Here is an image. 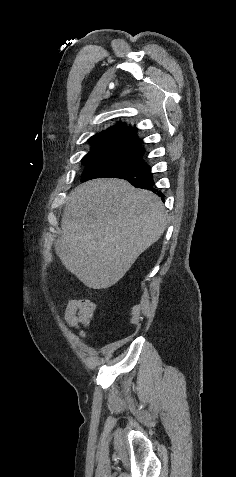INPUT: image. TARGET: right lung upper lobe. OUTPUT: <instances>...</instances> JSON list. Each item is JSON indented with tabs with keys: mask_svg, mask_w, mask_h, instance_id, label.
Returning <instances> with one entry per match:
<instances>
[{
	"mask_svg": "<svg viewBox=\"0 0 236 477\" xmlns=\"http://www.w3.org/2000/svg\"><path fill=\"white\" fill-rule=\"evenodd\" d=\"M136 128L128 127L124 123H119L107 130L97 133L88 141L92 145V150L83 161L104 160L119 163L125 167L132 166L137 162L135 157L144 154L141 147V140L136 136Z\"/></svg>",
	"mask_w": 236,
	"mask_h": 477,
	"instance_id": "1",
	"label": "right lung upper lobe"
}]
</instances>
